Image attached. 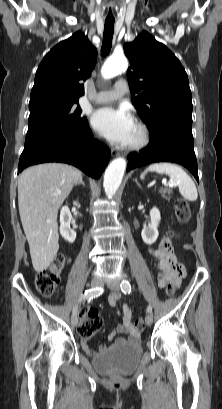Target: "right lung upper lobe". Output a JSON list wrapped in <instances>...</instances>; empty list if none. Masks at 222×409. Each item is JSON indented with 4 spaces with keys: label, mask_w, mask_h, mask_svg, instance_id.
<instances>
[{
    "label": "right lung upper lobe",
    "mask_w": 222,
    "mask_h": 409,
    "mask_svg": "<svg viewBox=\"0 0 222 409\" xmlns=\"http://www.w3.org/2000/svg\"><path fill=\"white\" fill-rule=\"evenodd\" d=\"M96 48L81 31L53 47L40 63L29 108L52 102L78 101L84 94L81 81L91 74Z\"/></svg>",
    "instance_id": "right-lung-upper-lobe-1"
}]
</instances>
